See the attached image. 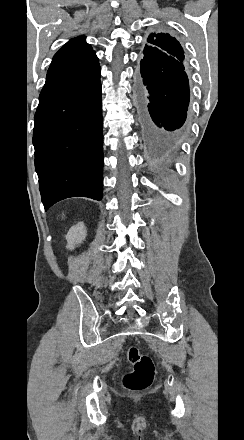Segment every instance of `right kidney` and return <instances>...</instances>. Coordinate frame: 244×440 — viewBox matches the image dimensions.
<instances>
[{
  "label": "right kidney",
  "mask_w": 244,
  "mask_h": 440,
  "mask_svg": "<svg viewBox=\"0 0 244 440\" xmlns=\"http://www.w3.org/2000/svg\"><path fill=\"white\" fill-rule=\"evenodd\" d=\"M86 238V228L83 222H78L76 226H71L67 236V246L69 250H73L76 244H82L83 240Z\"/></svg>",
  "instance_id": "ca27d5eb"
}]
</instances>
